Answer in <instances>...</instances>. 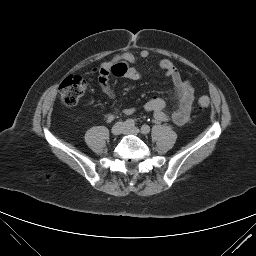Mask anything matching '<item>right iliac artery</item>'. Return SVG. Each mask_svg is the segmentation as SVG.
<instances>
[{"label": "right iliac artery", "instance_id": "82829eb1", "mask_svg": "<svg viewBox=\"0 0 256 256\" xmlns=\"http://www.w3.org/2000/svg\"><path fill=\"white\" fill-rule=\"evenodd\" d=\"M125 126L126 127H134L135 125V122L133 119H127L125 122H124Z\"/></svg>", "mask_w": 256, "mask_h": 256}]
</instances>
